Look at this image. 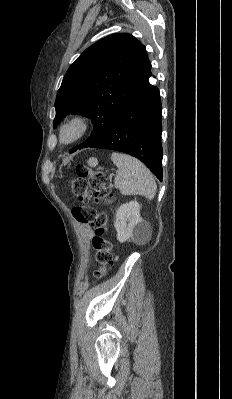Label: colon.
Masks as SVG:
<instances>
[{"instance_id":"5ec220e1","label":"colon","mask_w":232,"mask_h":399,"mask_svg":"<svg viewBox=\"0 0 232 399\" xmlns=\"http://www.w3.org/2000/svg\"><path fill=\"white\" fill-rule=\"evenodd\" d=\"M79 168L81 170L77 171L78 175H74V181H63L64 185H69V194L77 196V202H81V207H74L72 210L73 218H76V222H92L91 229L97 235L91 238V243H94V261L103 266L107 263L114 265V254H111L114 251V242L111 241V232H107L109 229L107 216L99 209V197L111 200V174H106L105 177V172H94L91 168H97V160H84L79 163ZM86 186H89V198H94V203L86 202ZM94 274H103L107 277L108 269H99V265H94Z\"/></svg>"}]
</instances>
